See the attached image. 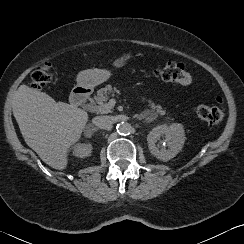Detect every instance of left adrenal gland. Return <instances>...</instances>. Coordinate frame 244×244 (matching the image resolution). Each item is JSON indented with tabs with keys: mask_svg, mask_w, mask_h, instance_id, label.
I'll list each match as a JSON object with an SVG mask.
<instances>
[{
	"mask_svg": "<svg viewBox=\"0 0 244 244\" xmlns=\"http://www.w3.org/2000/svg\"><path fill=\"white\" fill-rule=\"evenodd\" d=\"M144 118H145L144 114H140V115L137 116L138 120H144Z\"/></svg>",
	"mask_w": 244,
	"mask_h": 244,
	"instance_id": "obj_1",
	"label": "left adrenal gland"
}]
</instances>
